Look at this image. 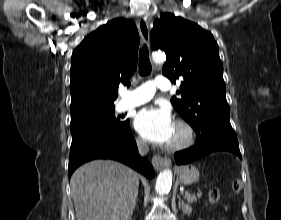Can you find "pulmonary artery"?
I'll list each match as a JSON object with an SVG mask.
<instances>
[{"label":"pulmonary artery","instance_id":"e3ab8cb5","mask_svg":"<svg viewBox=\"0 0 281 220\" xmlns=\"http://www.w3.org/2000/svg\"><path fill=\"white\" fill-rule=\"evenodd\" d=\"M156 89L163 91L170 89V81L164 76H157L153 81H148L135 89L123 91L120 106L122 109L133 108L150 101Z\"/></svg>","mask_w":281,"mask_h":220}]
</instances>
